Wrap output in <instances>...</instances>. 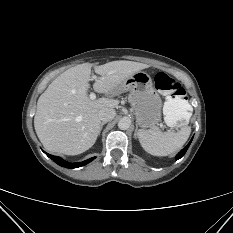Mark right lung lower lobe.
<instances>
[{"label":"right lung lower lobe","instance_id":"right-lung-lower-lobe-1","mask_svg":"<svg viewBox=\"0 0 233 233\" xmlns=\"http://www.w3.org/2000/svg\"><path fill=\"white\" fill-rule=\"evenodd\" d=\"M45 154L51 158L55 163H57L58 165L62 166V167H66V168H77L83 165H86L87 163L91 162L95 157L90 158L86 161L83 162H78V163H68L65 160H63L62 158L58 157V156H53L50 155L48 153L45 152Z\"/></svg>","mask_w":233,"mask_h":233}]
</instances>
